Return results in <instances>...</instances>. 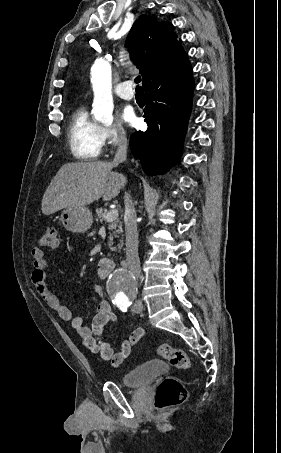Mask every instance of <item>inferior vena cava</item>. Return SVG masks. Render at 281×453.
<instances>
[{
  "instance_id": "602c4592",
  "label": "inferior vena cava",
  "mask_w": 281,
  "mask_h": 453,
  "mask_svg": "<svg viewBox=\"0 0 281 453\" xmlns=\"http://www.w3.org/2000/svg\"><path fill=\"white\" fill-rule=\"evenodd\" d=\"M118 148L115 152L114 160L115 164L123 162L127 158V138L123 132H120L117 140ZM125 235H126V261L128 267L135 277L136 281H139L141 277L140 261L138 257V231L136 222V210L131 200V196L127 194L125 196Z\"/></svg>"
}]
</instances>
